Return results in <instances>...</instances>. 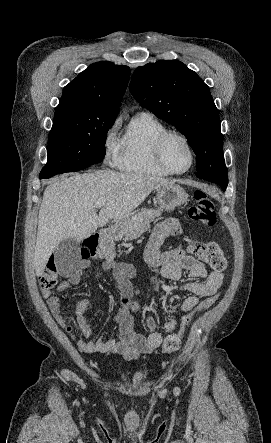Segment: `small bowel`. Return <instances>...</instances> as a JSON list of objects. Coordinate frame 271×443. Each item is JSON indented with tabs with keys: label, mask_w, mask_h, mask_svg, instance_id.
Segmentation results:
<instances>
[{
	"label": "small bowel",
	"mask_w": 271,
	"mask_h": 443,
	"mask_svg": "<svg viewBox=\"0 0 271 443\" xmlns=\"http://www.w3.org/2000/svg\"><path fill=\"white\" fill-rule=\"evenodd\" d=\"M180 232L181 228L177 220L167 219L160 222L148 241L145 259L151 265H160L162 274L167 279L178 281L185 275L190 278V281L180 287V289L189 292L190 295L185 297L179 305V311L189 312L198 304L199 297L211 296L217 292L222 285L224 275L216 271L208 272L200 261L183 249L161 251L163 241L169 236L180 234ZM88 266L87 261H82L80 267L57 286L56 291L60 293L78 285L83 269ZM102 268L104 271L112 273L119 289L122 291L124 308L116 318L119 327L117 337L92 339L93 327L84 317V313L91 302L89 298L80 301L74 313L81 332L80 337L73 332L71 322L62 314L60 299L51 290H43L42 295L51 314L56 322L77 342L78 349L81 352L118 353L129 360L137 359L141 354L152 352L161 345L164 335L171 334L177 329L178 320L170 319L165 323L162 331L159 332L156 330L154 318L147 316L145 320L147 334L136 332L133 318L128 311L132 298L130 279L136 274L135 268L131 264L117 263L110 259L102 264Z\"/></svg>",
	"instance_id": "1"
}]
</instances>
